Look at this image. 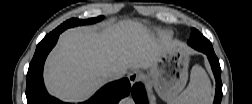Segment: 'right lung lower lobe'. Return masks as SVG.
Listing matches in <instances>:
<instances>
[{"instance_id":"98d812e1","label":"right lung lower lobe","mask_w":252,"mask_h":104,"mask_svg":"<svg viewBox=\"0 0 252 104\" xmlns=\"http://www.w3.org/2000/svg\"><path fill=\"white\" fill-rule=\"evenodd\" d=\"M60 31H53L37 45L33 59L27 73L26 97L28 104H64L50 96L43 82V66L51 49L55 46ZM131 90L127 78L111 82L102 87L92 98L82 104H117L119 100L128 96Z\"/></svg>"}]
</instances>
